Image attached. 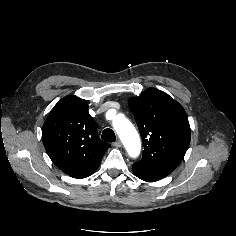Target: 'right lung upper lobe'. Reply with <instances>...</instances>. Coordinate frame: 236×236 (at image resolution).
<instances>
[{"instance_id": "obj_1", "label": "right lung upper lobe", "mask_w": 236, "mask_h": 236, "mask_svg": "<svg viewBox=\"0 0 236 236\" xmlns=\"http://www.w3.org/2000/svg\"><path fill=\"white\" fill-rule=\"evenodd\" d=\"M42 140L53 163L78 179L92 175L111 146L99 139L87 101L73 95L62 98L51 110Z\"/></svg>"}]
</instances>
